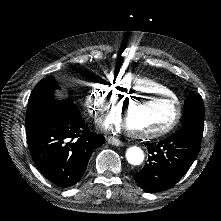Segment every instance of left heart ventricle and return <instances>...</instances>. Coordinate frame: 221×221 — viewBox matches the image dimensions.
<instances>
[{"label":"left heart ventricle","instance_id":"obj_1","mask_svg":"<svg viewBox=\"0 0 221 221\" xmlns=\"http://www.w3.org/2000/svg\"><path fill=\"white\" fill-rule=\"evenodd\" d=\"M172 116L171 103L161 98L134 100L130 108H123L119 114L120 120L126 123L133 133L142 132L145 124H162Z\"/></svg>","mask_w":221,"mask_h":221}]
</instances>
